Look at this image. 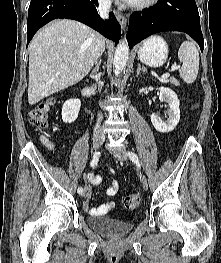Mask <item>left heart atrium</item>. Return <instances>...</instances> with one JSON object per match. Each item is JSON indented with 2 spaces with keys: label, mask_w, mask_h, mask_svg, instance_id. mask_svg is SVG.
Instances as JSON below:
<instances>
[{
  "label": "left heart atrium",
  "mask_w": 221,
  "mask_h": 263,
  "mask_svg": "<svg viewBox=\"0 0 221 263\" xmlns=\"http://www.w3.org/2000/svg\"><path fill=\"white\" fill-rule=\"evenodd\" d=\"M121 1H124V2H127V3H133L135 0H121Z\"/></svg>",
  "instance_id": "obj_1"
}]
</instances>
